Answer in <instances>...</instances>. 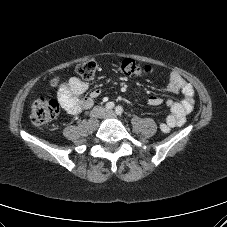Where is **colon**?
Here are the masks:
<instances>
[{
	"mask_svg": "<svg viewBox=\"0 0 227 227\" xmlns=\"http://www.w3.org/2000/svg\"><path fill=\"white\" fill-rule=\"evenodd\" d=\"M118 70L126 76H142L151 71L148 65H141L132 59H123L117 62ZM97 70V64L93 60L81 63L77 67L78 75L84 80H90L94 77ZM53 86H60L59 79L52 81ZM59 114V104L54 99L43 96L37 97L31 106V121L36 126H43L53 121Z\"/></svg>",
	"mask_w": 227,
	"mask_h": 227,
	"instance_id": "obj_1",
	"label": "colon"
}]
</instances>
